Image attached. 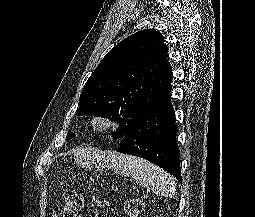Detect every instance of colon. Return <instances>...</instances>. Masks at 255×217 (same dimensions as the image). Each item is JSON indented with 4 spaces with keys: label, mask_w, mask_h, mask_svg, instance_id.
Wrapping results in <instances>:
<instances>
[{
    "label": "colon",
    "mask_w": 255,
    "mask_h": 217,
    "mask_svg": "<svg viewBox=\"0 0 255 217\" xmlns=\"http://www.w3.org/2000/svg\"><path fill=\"white\" fill-rule=\"evenodd\" d=\"M83 207V198L72 189L63 195V203L55 207L53 217H74L75 212ZM127 217H140L143 211V202L137 197L129 198L124 203Z\"/></svg>",
    "instance_id": "obj_1"
}]
</instances>
